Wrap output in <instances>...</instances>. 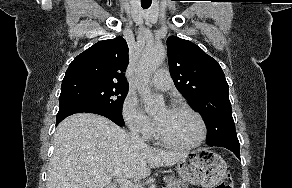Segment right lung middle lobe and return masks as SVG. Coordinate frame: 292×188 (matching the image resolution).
Here are the masks:
<instances>
[{"label": "right lung middle lobe", "mask_w": 292, "mask_h": 188, "mask_svg": "<svg viewBox=\"0 0 292 188\" xmlns=\"http://www.w3.org/2000/svg\"><path fill=\"white\" fill-rule=\"evenodd\" d=\"M128 88V85L92 78L63 80L59 104L82 102L116 117H122V106Z\"/></svg>", "instance_id": "right-lung-middle-lobe-1"}]
</instances>
